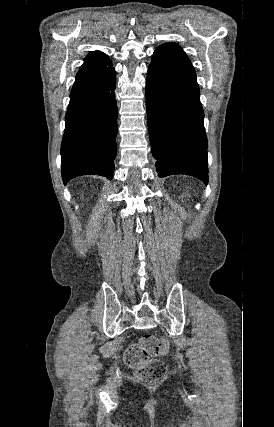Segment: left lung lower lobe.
<instances>
[{
	"label": "left lung lower lobe",
	"mask_w": 274,
	"mask_h": 427,
	"mask_svg": "<svg viewBox=\"0 0 274 427\" xmlns=\"http://www.w3.org/2000/svg\"><path fill=\"white\" fill-rule=\"evenodd\" d=\"M152 155L159 177L194 176L208 183L207 137L195 70L175 43L154 52L146 79Z\"/></svg>",
	"instance_id": "1"
}]
</instances>
